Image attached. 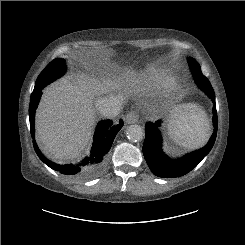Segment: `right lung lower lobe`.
Returning <instances> with one entry per match:
<instances>
[{
    "label": "right lung lower lobe",
    "mask_w": 245,
    "mask_h": 245,
    "mask_svg": "<svg viewBox=\"0 0 245 245\" xmlns=\"http://www.w3.org/2000/svg\"><path fill=\"white\" fill-rule=\"evenodd\" d=\"M41 90L42 88L33 90L29 105V119L31 136L33 138V147L39 158L53 170H56L73 179L86 180L98 175L104 168V165L106 163V154L111 148L116 134L122 128L123 123L119 122L118 125H112L111 120L99 122L94 134V142L89 156L85 157L81 162L77 164L60 165L54 163L43 156L34 138L35 110L42 94Z\"/></svg>",
    "instance_id": "obj_1"
}]
</instances>
